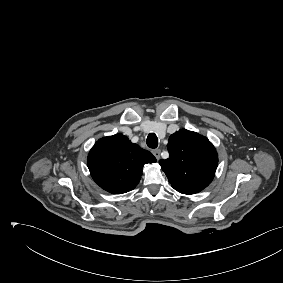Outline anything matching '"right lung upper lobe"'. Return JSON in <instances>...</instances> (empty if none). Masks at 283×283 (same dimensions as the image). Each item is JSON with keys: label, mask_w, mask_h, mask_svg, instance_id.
I'll list each match as a JSON object with an SVG mask.
<instances>
[{"label": "right lung upper lobe", "mask_w": 283, "mask_h": 283, "mask_svg": "<svg viewBox=\"0 0 283 283\" xmlns=\"http://www.w3.org/2000/svg\"><path fill=\"white\" fill-rule=\"evenodd\" d=\"M153 162L156 158L151 152L131 143L121 133L99 139L88 155L93 180L113 194L133 190L141 179L144 164Z\"/></svg>", "instance_id": "1"}]
</instances>
